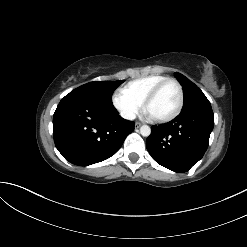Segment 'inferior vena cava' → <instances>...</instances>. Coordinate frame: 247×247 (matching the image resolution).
Listing matches in <instances>:
<instances>
[{
	"label": "inferior vena cava",
	"instance_id": "602c4592",
	"mask_svg": "<svg viewBox=\"0 0 247 247\" xmlns=\"http://www.w3.org/2000/svg\"><path fill=\"white\" fill-rule=\"evenodd\" d=\"M122 117L128 120H133L135 119V114L131 113V112H124L122 114Z\"/></svg>",
	"mask_w": 247,
	"mask_h": 247
}]
</instances>
